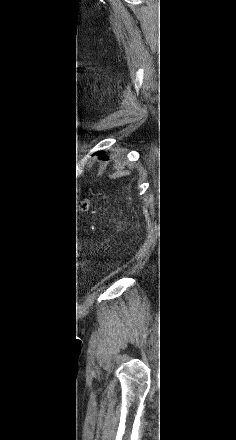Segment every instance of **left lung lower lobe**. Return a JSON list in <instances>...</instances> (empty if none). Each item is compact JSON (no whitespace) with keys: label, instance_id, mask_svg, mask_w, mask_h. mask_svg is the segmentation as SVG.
<instances>
[{"label":"left lung lower lobe","instance_id":"left-lung-lower-lobe-1","mask_svg":"<svg viewBox=\"0 0 236 440\" xmlns=\"http://www.w3.org/2000/svg\"><path fill=\"white\" fill-rule=\"evenodd\" d=\"M95 154L98 155L102 159H107V156L105 155V153L103 151H97Z\"/></svg>","mask_w":236,"mask_h":440}]
</instances>
